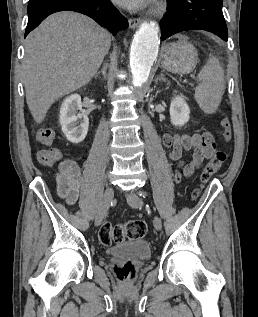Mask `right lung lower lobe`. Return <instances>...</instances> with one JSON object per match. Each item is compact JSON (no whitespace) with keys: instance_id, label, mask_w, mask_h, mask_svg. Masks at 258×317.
<instances>
[{"instance_id":"98d812e1","label":"right lung lower lobe","mask_w":258,"mask_h":317,"mask_svg":"<svg viewBox=\"0 0 258 317\" xmlns=\"http://www.w3.org/2000/svg\"><path fill=\"white\" fill-rule=\"evenodd\" d=\"M64 10L76 11L89 16L114 35L128 27L127 19L121 15L110 0H29L25 37L47 16Z\"/></svg>"}]
</instances>
